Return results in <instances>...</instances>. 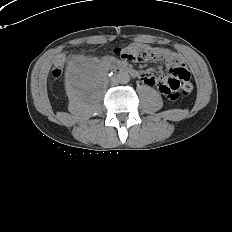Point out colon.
I'll use <instances>...</instances> for the list:
<instances>
[{
  "label": "colon",
  "instance_id": "obj_1",
  "mask_svg": "<svg viewBox=\"0 0 232 232\" xmlns=\"http://www.w3.org/2000/svg\"><path fill=\"white\" fill-rule=\"evenodd\" d=\"M161 53L157 50L150 48H140L138 50H125L122 54V58L129 62L142 63L147 60L159 59ZM64 63V57H60L54 64L52 69V76L59 78L62 74V67ZM190 80L189 72L182 67H173L171 74L165 79V82L171 86L172 92L167 97L175 101L180 96H186L190 92V88L187 83Z\"/></svg>",
  "mask_w": 232,
  "mask_h": 232
}]
</instances>
